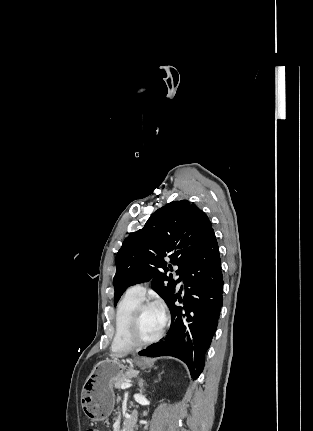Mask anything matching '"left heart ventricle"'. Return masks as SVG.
<instances>
[{
	"instance_id": "1",
	"label": "left heart ventricle",
	"mask_w": 313,
	"mask_h": 431,
	"mask_svg": "<svg viewBox=\"0 0 313 431\" xmlns=\"http://www.w3.org/2000/svg\"><path fill=\"white\" fill-rule=\"evenodd\" d=\"M162 328L161 317L154 306L146 308L140 319L139 336L142 339L154 337Z\"/></svg>"
}]
</instances>
